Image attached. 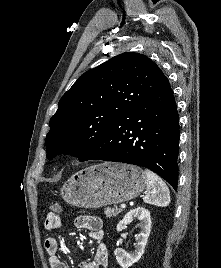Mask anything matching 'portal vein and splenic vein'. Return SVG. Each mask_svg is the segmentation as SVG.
<instances>
[{"label": "portal vein and splenic vein", "instance_id": "portal-vein-and-splenic-vein-1", "mask_svg": "<svg viewBox=\"0 0 221 268\" xmlns=\"http://www.w3.org/2000/svg\"><path fill=\"white\" fill-rule=\"evenodd\" d=\"M121 209H124V208H126V204H121Z\"/></svg>", "mask_w": 221, "mask_h": 268}]
</instances>
